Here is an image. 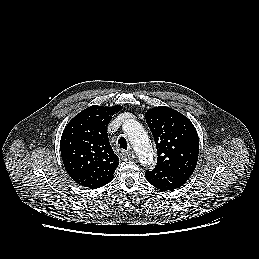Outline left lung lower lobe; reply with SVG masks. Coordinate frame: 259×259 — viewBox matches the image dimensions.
<instances>
[{"label":"left lung lower lobe","mask_w":259,"mask_h":259,"mask_svg":"<svg viewBox=\"0 0 259 259\" xmlns=\"http://www.w3.org/2000/svg\"><path fill=\"white\" fill-rule=\"evenodd\" d=\"M145 176L147 181L160 190H173L181 187L187 179L171 171H148Z\"/></svg>","instance_id":"left-lung-lower-lobe-1"}]
</instances>
